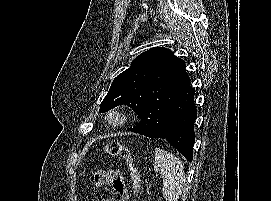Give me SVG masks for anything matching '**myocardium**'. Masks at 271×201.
<instances>
[{"label": "myocardium", "instance_id": "f54148a6", "mask_svg": "<svg viewBox=\"0 0 271 201\" xmlns=\"http://www.w3.org/2000/svg\"><path fill=\"white\" fill-rule=\"evenodd\" d=\"M106 120L109 125L113 127H121L128 121V115L125 111L119 108H113L108 111Z\"/></svg>", "mask_w": 271, "mask_h": 201}]
</instances>
